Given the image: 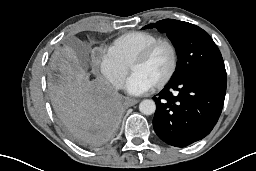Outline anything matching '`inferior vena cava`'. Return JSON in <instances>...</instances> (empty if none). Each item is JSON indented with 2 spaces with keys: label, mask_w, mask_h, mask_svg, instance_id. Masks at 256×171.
<instances>
[{
  "label": "inferior vena cava",
  "mask_w": 256,
  "mask_h": 171,
  "mask_svg": "<svg viewBox=\"0 0 256 171\" xmlns=\"http://www.w3.org/2000/svg\"><path fill=\"white\" fill-rule=\"evenodd\" d=\"M113 85L116 89H120L123 87V82L122 81H119V80H116L113 82Z\"/></svg>",
  "instance_id": "1"
}]
</instances>
